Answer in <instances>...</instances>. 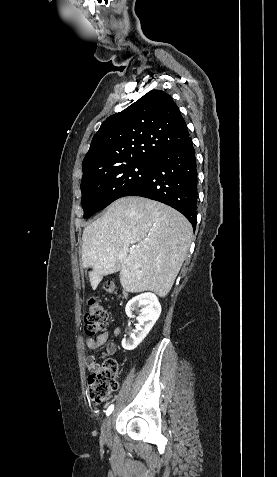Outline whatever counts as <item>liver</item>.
Returning <instances> with one entry per match:
<instances>
[{
    "mask_svg": "<svg viewBox=\"0 0 277 477\" xmlns=\"http://www.w3.org/2000/svg\"><path fill=\"white\" fill-rule=\"evenodd\" d=\"M192 226L177 210L143 197H123L85 227L82 265L92 268L96 288L102 277L120 271L127 292L171 290L192 241Z\"/></svg>",
    "mask_w": 277,
    "mask_h": 477,
    "instance_id": "obj_1",
    "label": "liver"
}]
</instances>
